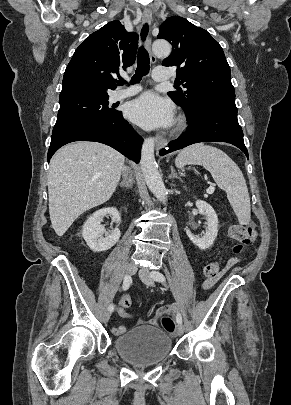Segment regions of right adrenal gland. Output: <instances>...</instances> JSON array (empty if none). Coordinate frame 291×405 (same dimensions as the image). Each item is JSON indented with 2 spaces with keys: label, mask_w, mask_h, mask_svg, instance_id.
<instances>
[{
  "label": "right adrenal gland",
  "mask_w": 291,
  "mask_h": 405,
  "mask_svg": "<svg viewBox=\"0 0 291 405\" xmlns=\"http://www.w3.org/2000/svg\"><path fill=\"white\" fill-rule=\"evenodd\" d=\"M132 185H133V183H132V178H131V176H129V175H126L125 178L123 179V181H121V182L119 183V186L125 187V188H127V189L131 188Z\"/></svg>",
  "instance_id": "2a0ac1e0"
}]
</instances>
